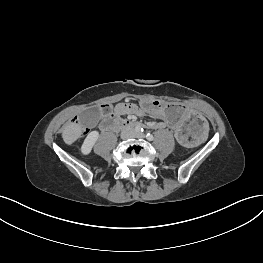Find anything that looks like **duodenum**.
I'll list each match as a JSON object with an SVG mask.
<instances>
[{"label":"duodenum","instance_id":"obj_1","mask_svg":"<svg viewBox=\"0 0 263 263\" xmlns=\"http://www.w3.org/2000/svg\"><path fill=\"white\" fill-rule=\"evenodd\" d=\"M139 124L129 121V120H121L116 117H110L105 121V127L110 129L115 128H132V127H138Z\"/></svg>","mask_w":263,"mask_h":263}]
</instances>
